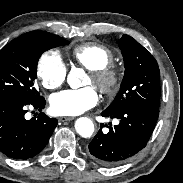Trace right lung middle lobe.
Instances as JSON below:
<instances>
[{
  "instance_id": "dd1d6c3e",
  "label": "right lung middle lobe",
  "mask_w": 183,
  "mask_h": 183,
  "mask_svg": "<svg viewBox=\"0 0 183 183\" xmlns=\"http://www.w3.org/2000/svg\"><path fill=\"white\" fill-rule=\"evenodd\" d=\"M69 41L48 32L32 31L0 50V99L37 97L36 69L40 56Z\"/></svg>"
}]
</instances>
